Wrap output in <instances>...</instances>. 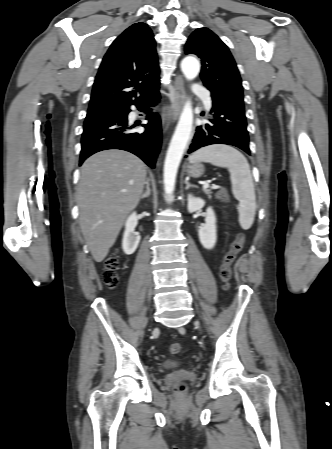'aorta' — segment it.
Segmentation results:
<instances>
[{"label": "aorta", "mask_w": 332, "mask_h": 449, "mask_svg": "<svg viewBox=\"0 0 332 449\" xmlns=\"http://www.w3.org/2000/svg\"><path fill=\"white\" fill-rule=\"evenodd\" d=\"M181 70L187 80H193L200 71V63L195 57H186L181 62ZM193 126V109L190 101L183 107L175 132L167 150L163 177L164 190L170 197L175 189L176 175Z\"/></svg>", "instance_id": "762f6f07"}]
</instances>
